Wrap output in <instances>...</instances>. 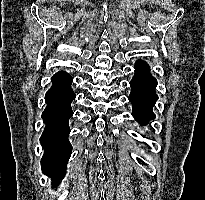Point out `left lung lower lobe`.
I'll list each match as a JSON object with an SVG mask.
<instances>
[{"mask_svg": "<svg viewBox=\"0 0 205 200\" xmlns=\"http://www.w3.org/2000/svg\"><path fill=\"white\" fill-rule=\"evenodd\" d=\"M149 66L145 62L135 63V75L130 82L132 115L141 124L148 123L155 118L152 107L158 99L155 93L157 81L150 75Z\"/></svg>", "mask_w": 205, "mask_h": 200, "instance_id": "1", "label": "left lung lower lobe"}]
</instances>
